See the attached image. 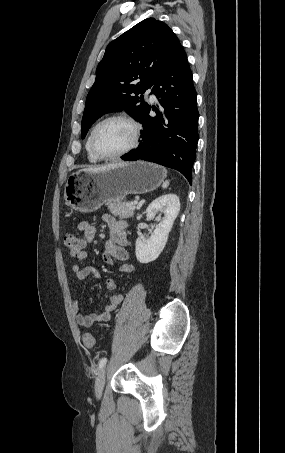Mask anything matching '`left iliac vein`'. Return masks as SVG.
<instances>
[{"mask_svg": "<svg viewBox=\"0 0 285 453\" xmlns=\"http://www.w3.org/2000/svg\"><path fill=\"white\" fill-rule=\"evenodd\" d=\"M106 370H107L106 367L101 369V371L96 379V382H95V396L98 399H100L102 396L103 387H104L105 378H106Z\"/></svg>", "mask_w": 285, "mask_h": 453, "instance_id": "obj_1", "label": "left iliac vein"}]
</instances>
